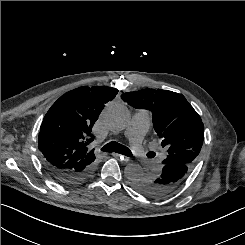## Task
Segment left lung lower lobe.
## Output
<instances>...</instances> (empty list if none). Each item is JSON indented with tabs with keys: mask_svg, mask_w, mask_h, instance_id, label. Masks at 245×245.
<instances>
[{
	"mask_svg": "<svg viewBox=\"0 0 245 245\" xmlns=\"http://www.w3.org/2000/svg\"><path fill=\"white\" fill-rule=\"evenodd\" d=\"M191 164L172 162L163 164L156 175H143L133 182L134 188L152 198H162L176 191L186 180Z\"/></svg>",
	"mask_w": 245,
	"mask_h": 245,
	"instance_id": "obj_1",
	"label": "left lung lower lobe"
}]
</instances>
